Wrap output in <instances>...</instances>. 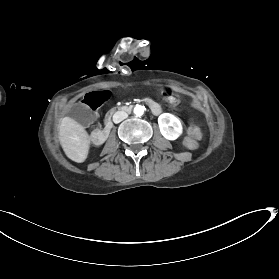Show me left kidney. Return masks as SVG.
<instances>
[{"label":"left kidney","mask_w":279,"mask_h":279,"mask_svg":"<svg viewBox=\"0 0 279 279\" xmlns=\"http://www.w3.org/2000/svg\"><path fill=\"white\" fill-rule=\"evenodd\" d=\"M161 134L169 140L177 139L183 132L180 120L170 113H163L158 118Z\"/></svg>","instance_id":"obj_1"}]
</instances>
